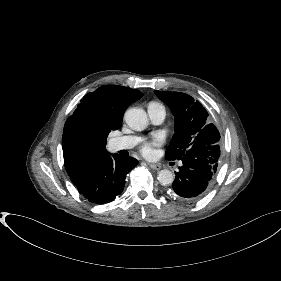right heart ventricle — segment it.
Returning a JSON list of instances; mask_svg holds the SVG:
<instances>
[{
  "label": "right heart ventricle",
  "instance_id": "obj_1",
  "mask_svg": "<svg viewBox=\"0 0 281 281\" xmlns=\"http://www.w3.org/2000/svg\"><path fill=\"white\" fill-rule=\"evenodd\" d=\"M150 105L163 107L161 104H159V103H155V102L151 103Z\"/></svg>",
  "mask_w": 281,
  "mask_h": 281
}]
</instances>
